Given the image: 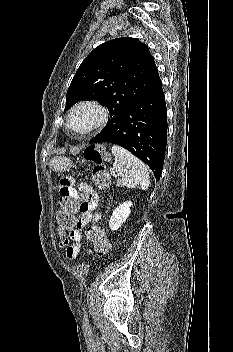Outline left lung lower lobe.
Listing matches in <instances>:
<instances>
[{
    "mask_svg": "<svg viewBox=\"0 0 233 352\" xmlns=\"http://www.w3.org/2000/svg\"><path fill=\"white\" fill-rule=\"evenodd\" d=\"M101 142L127 149L151 168L156 179L160 178L167 143V111L161 80L89 143Z\"/></svg>",
    "mask_w": 233,
    "mask_h": 352,
    "instance_id": "left-lung-lower-lobe-1",
    "label": "left lung lower lobe"
}]
</instances>
